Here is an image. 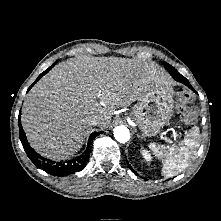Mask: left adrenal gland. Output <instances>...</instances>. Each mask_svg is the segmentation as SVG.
<instances>
[{
	"label": "left adrenal gland",
	"mask_w": 221,
	"mask_h": 221,
	"mask_svg": "<svg viewBox=\"0 0 221 221\" xmlns=\"http://www.w3.org/2000/svg\"><path fill=\"white\" fill-rule=\"evenodd\" d=\"M138 137H139V138H143V137H141L139 134H138Z\"/></svg>",
	"instance_id": "a2214340"
}]
</instances>
